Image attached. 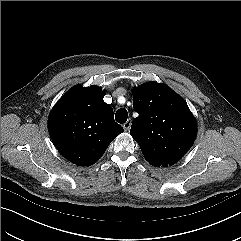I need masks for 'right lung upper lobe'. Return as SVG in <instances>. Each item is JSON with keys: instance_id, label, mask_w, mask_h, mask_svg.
Returning <instances> with one entry per match:
<instances>
[{"instance_id": "1", "label": "right lung upper lobe", "mask_w": 241, "mask_h": 241, "mask_svg": "<svg viewBox=\"0 0 241 241\" xmlns=\"http://www.w3.org/2000/svg\"><path fill=\"white\" fill-rule=\"evenodd\" d=\"M99 87L71 88L56 103L48 121L52 142L66 159L80 166L94 164L112 140L124 131Z\"/></svg>"}]
</instances>
